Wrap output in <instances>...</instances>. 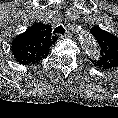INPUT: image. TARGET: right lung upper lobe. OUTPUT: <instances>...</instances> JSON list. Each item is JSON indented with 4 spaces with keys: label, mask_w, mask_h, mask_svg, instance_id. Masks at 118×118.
<instances>
[{
    "label": "right lung upper lobe",
    "mask_w": 118,
    "mask_h": 118,
    "mask_svg": "<svg viewBox=\"0 0 118 118\" xmlns=\"http://www.w3.org/2000/svg\"><path fill=\"white\" fill-rule=\"evenodd\" d=\"M52 28L41 22L30 26L12 42V53L20 64H35L48 56L50 46L57 40Z\"/></svg>",
    "instance_id": "obj_1"
}]
</instances>
